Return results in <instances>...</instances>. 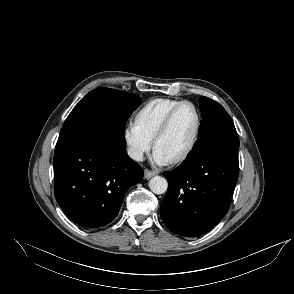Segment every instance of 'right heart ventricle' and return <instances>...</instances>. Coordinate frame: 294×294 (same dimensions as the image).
I'll use <instances>...</instances> for the list:
<instances>
[{
  "label": "right heart ventricle",
  "mask_w": 294,
  "mask_h": 294,
  "mask_svg": "<svg viewBox=\"0 0 294 294\" xmlns=\"http://www.w3.org/2000/svg\"><path fill=\"white\" fill-rule=\"evenodd\" d=\"M179 102L181 100L170 98L151 99L136 112L135 122L150 139H153L166 114Z\"/></svg>",
  "instance_id": "e07e8e85"
}]
</instances>
